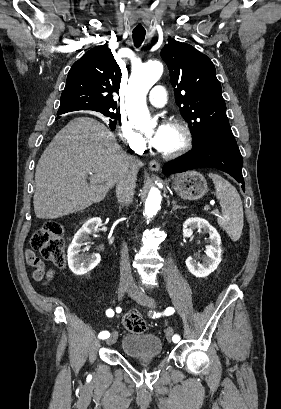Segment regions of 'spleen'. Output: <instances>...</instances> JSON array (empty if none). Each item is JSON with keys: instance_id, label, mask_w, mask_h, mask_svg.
<instances>
[{"instance_id": "obj_1", "label": "spleen", "mask_w": 281, "mask_h": 409, "mask_svg": "<svg viewBox=\"0 0 281 409\" xmlns=\"http://www.w3.org/2000/svg\"><path fill=\"white\" fill-rule=\"evenodd\" d=\"M208 176L212 178L215 184L216 198H218L222 207V217H219L218 223L232 241H238L244 227L241 196L235 186L219 176V174L209 172Z\"/></svg>"}]
</instances>
